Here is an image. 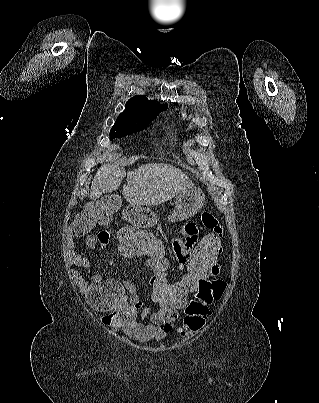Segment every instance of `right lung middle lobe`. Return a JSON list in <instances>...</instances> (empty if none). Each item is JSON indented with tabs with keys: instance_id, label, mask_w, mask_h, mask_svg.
I'll list each match as a JSON object with an SVG mask.
<instances>
[{
	"instance_id": "1",
	"label": "right lung middle lobe",
	"mask_w": 319,
	"mask_h": 403,
	"mask_svg": "<svg viewBox=\"0 0 319 403\" xmlns=\"http://www.w3.org/2000/svg\"><path fill=\"white\" fill-rule=\"evenodd\" d=\"M156 117L157 116L143 121H137L119 116L111 129L110 139L121 138L134 132H138L144 129Z\"/></svg>"
}]
</instances>
